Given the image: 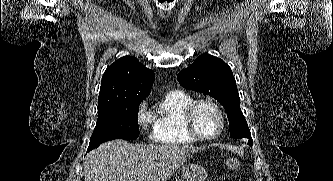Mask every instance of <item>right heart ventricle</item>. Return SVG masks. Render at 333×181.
Masks as SVG:
<instances>
[{
	"mask_svg": "<svg viewBox=\"0 0 333 181\" xmlns=\"http://www.w3.org/2000/svg\"><path fill=\"white\" fill-rule=\"evenodd\" d=\"M193 97L182 91H172L152 109L153 137L166 144H189L195 141L185 130L183 115Z\"/></svg>",
	"mask_w": 333,
	"mask_h": 181,
	"instance_id": "obj_1",
	"label": "right heart ventricle"
}]
</instances>
